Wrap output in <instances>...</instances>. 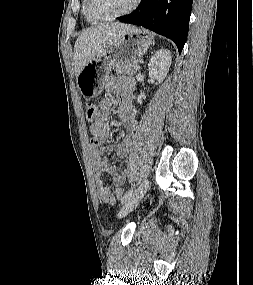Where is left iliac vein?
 <instances>
[{
	"mask_svg": "<svg viewBox=\"0 0 253 285\" xmlns=\"http://www.w3.org/2000/svg\"><path fill=\"white\" fill-rule=\"evenodd\" d=\"M148 186L149 181L146 179L140 184L132 196L124 203L119 212L120 217L126 216L140 203L148 189Z\"/></svg>",
	"mask_w": 253,
	"mask_h": 285,
	"instance_id": "4c4485c4",
	"label": "left iliac vein"
}]
</instances>
